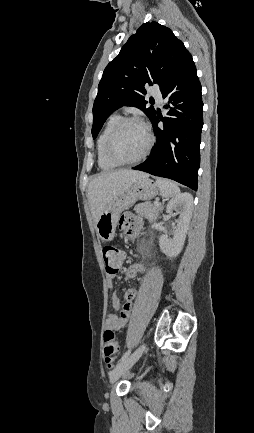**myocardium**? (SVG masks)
Here are the masks:
<instances>
[{
  "mask_svg": "<svg viewBox=\"0 0 254 433\" xmlns=\"http://www.w3.org/2000/svg\"><path fill=\"white\" fill-rule=\"evenodd\" d=\"M129 123H137V124H140L144 128L146 135H147V144H146V147L144 148V150L142 151V153L138 157L131 159V160H121L114 155L112 147H113L114 140H115L117 134L119 133V131L126 124H129ZM153 143H154V138H153L150 130L141 120H139L138 118H135V117L122 118L116 124V126L113 128V130L110 132V134L107 138V141L105 144V156L110 162H112L113 164H115L117 166H125V165L135 164V163H138V162H140L146 158V156L148 155V153L150 152V150L153 146Z\"/></svg>",
  "mask_w": 254,
  "mask_h": 433,
  "instance_id": "obj_1",
  "label": "myocardium"
}]
</instances>
